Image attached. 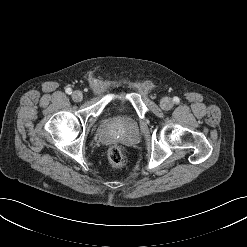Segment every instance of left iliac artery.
<instances>
[{"label": "left iliac artery", "instance_id": "1", "mask_svg": "<svg viewBox=\"0 0 247 247\" xmlns=\"http://www.w3.org/2000/svg\"><path fill=\"white\" fill-rule=\"evenodd\" d=\"M174 101H175L176 103H178V102H179V98H178V97H174Z\"/></svg>", "mask_w": 247, "mask_h": 247}]
</instances>
